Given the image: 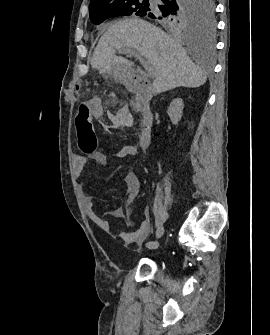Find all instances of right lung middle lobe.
<instances>
[{"label": "right lung middle lobe", "instance_id": "obj_1", "mask_svg": "<svg viewBox=\"0 0 270 335\" xmlns=\"http://www.w3.org/2000/svg\"><path fill=\"white\" fill-rule=\"evenodd\" d=\"M155 6L149 0H112L101 6L90 7L89 18L100 24L109 17L120 15L148 16L153 21L172 29H183L198 24L214 27V0H162Z\"/></svg>", "mask_w": 270, "mask_h": 335}]
</instances>
